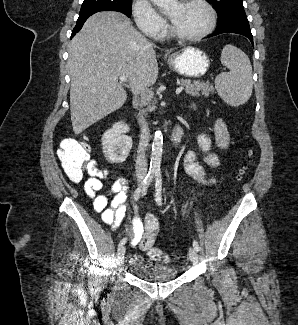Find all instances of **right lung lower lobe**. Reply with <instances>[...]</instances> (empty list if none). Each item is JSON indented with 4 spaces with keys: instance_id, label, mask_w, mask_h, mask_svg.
I'll list each match as a JSON object with an SVG mask.
<instances>
[{
    "instance_id": "98d812e1",
    "label": "right lung lower lobe",
    "mask_w": 298,
    "mask_h": 325,
    "mask_svg": "<svg viewBox=\"0 0 298 325\" xmlns=\"http://www.w3.org/2000/svg\"><path fill=\"white\" fill-rule=\"evenodd\" d=\"M85 21H86V19H84V20L78 19L77 20V24H76V26L74 27V29L72 31V36L71 37H73L78 31H80V29L82 28Z\"/></svg>"
}]
</instances>
